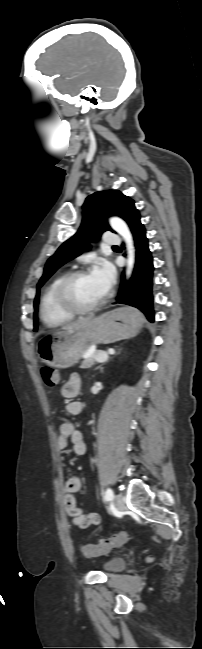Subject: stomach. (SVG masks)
I'll list each match as a JSON object with an SVG mask.
<instances>
[{
  "label": "stomach",
  "mask_w": 202,
  "mask_h": 649,
  "mask_svg": "<svg viewBox=\"0 0 202 649\" xmlns=\"http://www.w3.org/2000/svg\"><path fill=\"white\" fill-rule=\"evenodd\" d=\"M141 317L130 308L116 309L91 319L79 328L57 331L38 341L40 360L57 369L73 366L91 346L134 336Z\"/></svg>",
  "instance_id": "obj_1"
}]
</instances>
